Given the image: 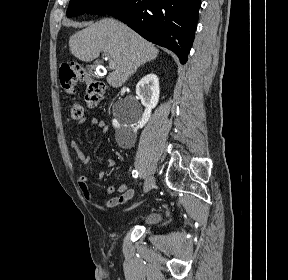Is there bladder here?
<instances>
[{"label": "bladder", "instance_id": "1", "mask_svg": "<svg viewBox=\"0 0 288 280\" xmlns=\"http://www.w3.org/2000/svg\"><path fill=\"white\" fill-rule=\"evenodd\" d=\"M162 219V213L159 211H149L145 213L140 221L145 225L156 224Z\"/></svg>", "mask_w": 288, "mask_h": 280}]
</instances>
